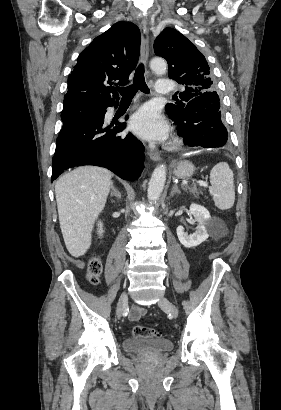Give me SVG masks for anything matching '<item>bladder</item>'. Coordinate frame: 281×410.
Returning <instances> with one entry per match:
<instances>
[{"mask_svg":"<svg viewBox=\"0 0 281 410\" xmlns=\"http://www.w3.org/2000/svg\"><path fill=\"white\" fill-rule=\"evenodd\" d=\"M125 352L146 356H158L173 349V343L166 339L128 338L123 343Z\"/></svg>","mask_w":281,"mask_h":410,"instance_id":"1","label":"bladder"}]
</instances>
